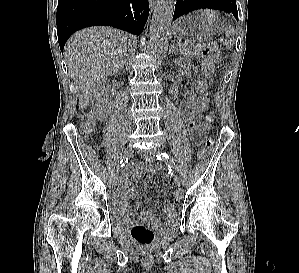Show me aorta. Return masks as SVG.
Instances as JSON below:
<instances>
[{
	"mask_svg": "<svg viewBox=\"0 0 299 273\" xmlns=\"http://www.w3.org/2000/svg\"><path fill=\"white\" fill-rule=\"evenodd\" d=\"M173 13V0L158 1L150 25L149 52L153 56H158L164 51L170 34Z\"/></svg>",
	"mask_w": 299,
	"mask_h": 273,
	"instance_id": "obj_1",
	"label": "aorta"
}]
</instances>
